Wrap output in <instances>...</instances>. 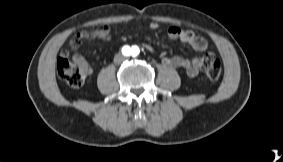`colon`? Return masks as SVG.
<instances>
[{"label": "colon", "mask_w": 283, "mask_h": 162, "mask_svg": "<svg viewBox=\"0 0 283 162\" xmlns=\"http://www.w3.org/2000/svg\"><path fill=\"white\" fill-rule=\"evenodd\" d=\"M204 76L215 82L219 80L222 73L221 61L213 55H208L203 61ZM57 74L60 79L72 87H80L84 84L90 74L87 63L71 61L68 57L61 56L57 60Z\"/></svg>", "instance_id": "obj_1"}]
</instances>
